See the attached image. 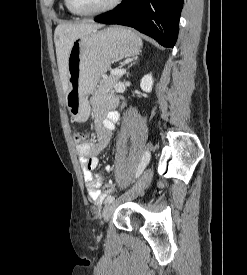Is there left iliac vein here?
<instances>
[{"label":"left iliac vein","mask_w":247,"mask_h":275,"mask_svg":"<svg viewBox=\"0 0 247 275\" xmlns=\"http://www.w3.org/2000/svg\"><path fill=\"white\" fill-rule=\"evenodd\" d=\"M152 170L151 169H147L144 174L142 175V177L140 178V180L138 181V183L127 193H125L122 196L123 200H127V199H131L136 197L137 195H139L146 187L147 185L150 183L151 179H152ZM117 206V203L112 201L109 202L105 205L104 209H103V219L104 221H108L111 216L113 215L115 208Z\"/></svg>","instance_id":"1"}]
</instances>
